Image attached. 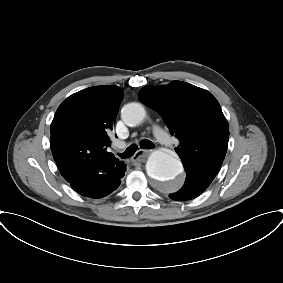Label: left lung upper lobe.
<instances>
[{"label":"left lung upper lobe","mask_w":283,"mask_h":283,"mask_svg":"<svg viewBox=\"0 0 283 283\" xmlns=\"http://www.w3.org/2000/svg\"><path fill=\"white\" fill-rule=\"evenodd\" d=\"M139 99L162 115L180 145L175 151L187 173L213 180L228 146L229 127L221 107L208 91L189 83L143 87Z\"/></svg>","instance_id":"obj_1"}]
</instances>
